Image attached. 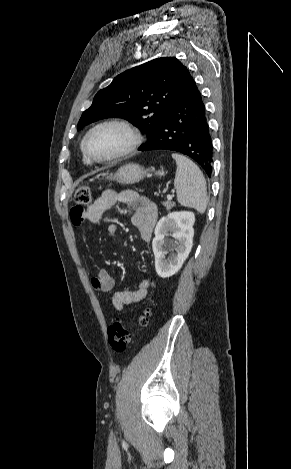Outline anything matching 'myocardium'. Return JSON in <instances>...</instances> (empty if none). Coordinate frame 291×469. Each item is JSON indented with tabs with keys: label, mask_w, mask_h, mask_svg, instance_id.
I'll return each instance as SVG.
<instances>
[{
	"label": "myocardium",
	"mask_w": 291,
	"mask_h": 469,
	"mask_svg": "<svg viewBox=\"0 0 291 469\" xmlns=\"http://www.w3.org/2000/svg\"><path fill=\"white\" fill-rule=\"evenodd\" d=\"M111 125L122 127L123 129H125L128 132V134L130 135L129 144L122 151H120V152H118V153H116V154H114L110 157H106V158L93 157L90 154L89 150H88V142H89L90 136L97 129H99L101 127H104V126H111ZM142 141H143V137H142L141 132L132 123H130L129 121H127L125 119H121V118H111V119H107V120H104V121L96 124L95 126H93L86 133V135L83 139V142H82V151H83L84 156L90 162L104 164V163H110V162H113V161H117L119 159H122V158L132 154L141 145Z\"/></svg>",
	"instance_id": "1"
}]
</instances>
